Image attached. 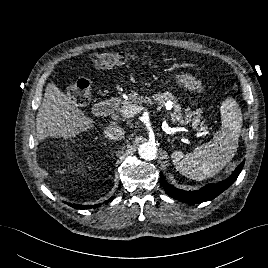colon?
<instances>
[{"instance_id": "1", "label": "colon", "mask_w": 268, "mask_h": 268, "mask_svg": "<svg viewBox=\"0 0 268 268\" xmlns=\"http://www.w3.org/2000/svg\"><path fill=\"white\" fill-rule=\"evenodd\" d=\"M134 58L133 54L125 52H97L92 55V62L98 69H111L124 65ZM91 86L86 79H79L67 90V96L76 105H84L90 98Z\"/></svg>"}]
</instances>
